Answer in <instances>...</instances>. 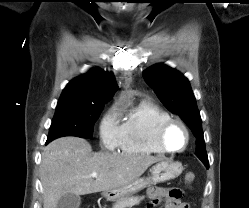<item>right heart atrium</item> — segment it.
I'll return each instance as SVG.
<instances>
[{"mask_svg":"<svg viewBox=\"0 0 249 208\" xmlns=\"http://www.w3.org/2000/svg\"><path fill=\"white\" fill-rule=\"evenodd\" d=\"M99 134L102 145L108 150H114L120 146L121 125L118 121V109L110 108L102 117L99 126Z\"/></svg>","mask_w":249,"mask_h":208,"instance_id":"1","label":"right heart atrium"}]
</instances>
